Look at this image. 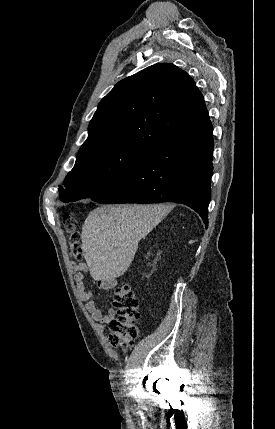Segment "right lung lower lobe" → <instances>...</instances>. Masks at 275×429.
I'll list each match as a JSON object with an SVG mask.
<instances>
[{"instance_id": "98d812e1", "label": "right lung lower lobe", "mask_w": 275, "mask_h": 429, "mask_svg": "<svg viewBox=\"0 0 275 429\" xmlns=\"http://www.w3.org/2000/svg\"><path fill=\"white\" fill-rule=\"evenodd\" d=\"M214 148L212 125L153 151L131 173L91 197L104 204L176 202L187 205L208 225Z\"/></svg>"}]
</instances>
